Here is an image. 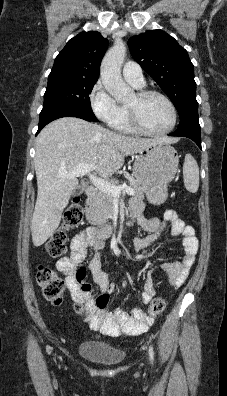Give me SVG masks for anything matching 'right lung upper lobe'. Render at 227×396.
Masks as SVG:
<instances>
[{
  "instance_id": "cb5924a9",
  "label": "right lung upper lobe",
  "mask_w": 227,
  "mask_h": 396,
  "mask_svg": "<svg viewBox=\"0 0 227 396\" xmlns=\"http://www.w3.org/2000/svg\"><path fill=\"white\" fill-rule=\"evenodd\" d=\"M108 40L97 31L81 32L57 55L51 73L97 78Z\"/></svg>"
}]
</instances>
